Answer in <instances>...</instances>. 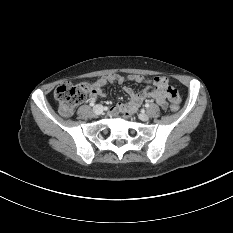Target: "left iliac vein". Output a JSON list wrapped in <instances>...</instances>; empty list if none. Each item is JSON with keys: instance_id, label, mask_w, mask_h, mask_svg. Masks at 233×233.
Returning <instances> with one entry per match:
<instances>
[{"instance_id": "4c4485c4", "label": "left iliac vein", "mask_w": 233, "mask_h": 233, "mask_svg": "<svg viewBox=\"0 0 233 233\" xmlns=\"http://www.w3.org/2000/svg\"><path fill=\"white\" fill-rule=\"evenodd\" d=\"M138 117H139V119L142 120V121H148V120L150 119V117H149L147 114H145V113H140V114L138 115Z\"/></svg>"}]
</instances>
